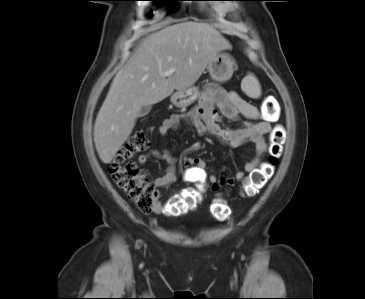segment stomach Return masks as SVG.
Masks as SVG:
<instances>
[{
  "label": "stomach",
  "mask_w": 365,
  "mask_h": 299,
  "mask_svg": "<svg viewBox=\"0 0 365 299\" xmlns=\"http://www.w3.org/2000/svg\"><path fill=\"white\" fill-rule=\"evenodd\" d=\"M235 67L236 63L231 55L227 53H218L208 64L207 70L213 80L225 82L232 77ZM198 94V88L192 86L186 90L176 91L171 95L170 100L176 107H187L197 99Z\"/></svg>",
  "instance_id": "0dacf381"
}]
</instances>
